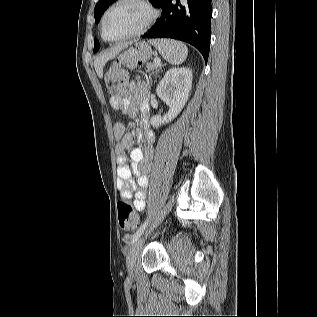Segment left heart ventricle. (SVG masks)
I'll return each instance as SVG.
<instances>
[{"mask_svg": "<svg viewBox=\"0 0 317 317\" xmlns=\"http://www.w3.org/2000/svg\"><path fill=\"white\" fill-rule=\"evenodd\" d=\"M147 19V11L137 3L126 2L115 7L107 16L105 35L109 39L122 37L140 28Z\"/></svg>", "mask_w": 317, "mask_h": 317, "instance_id": "obj_1", "label": "left heart ventricle"}]
</instances>
